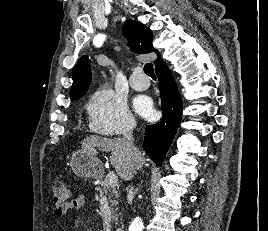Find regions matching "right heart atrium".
Returning <instances> with one entry per match:
<instances>
[{"label": "right heart atrium", "mask_w": 268, "mask_h": 231, "mask_svg": "<svg viewBox=\"0 0 268 231\" xmlns=\"http://www.w3.org/2000/svg\"><path fill=\"white\" fill-rule=\"evenodd\" d=\"M89 128L105 137L128 134L135 124L125 99L111 89L93 92L87 103Z\"/></svg>", "instance_id": "obj_1"}]
</instances>
